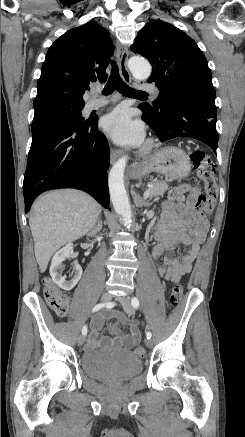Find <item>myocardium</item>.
Masks as SVG:
<instances>
[{
	"instance_id": "f54148a6",
	"label": "myocardium",
	"mask_w": 245,
	"mask_h": 437,
	"mask_svg": "<svg viewBox=\"0 0 245 437\" xmlns=\"http://www.w3.org/2000/svg\"><path fill=\"white\" fill-rule=\"evenodd\" d=\"M154 147H155V141L152 140V139H148V140L144 143V145H143V147H142V149H141V153H142V154H147V153H149L150 151H152Z\"/></svg>"
}]
</instances>
